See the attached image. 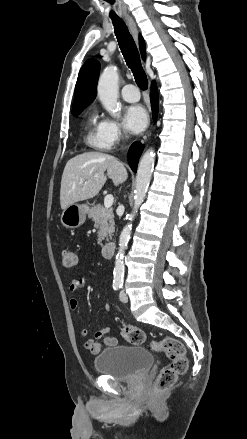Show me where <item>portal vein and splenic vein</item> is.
Wrapping results in <instances>:
<instances>
[{
	"instance_id": "18ae733b",
	"label": "portal vein and splenic vein",
	"mask_w": 247,
	"mask_h": 439,
	"mask_svg": "<svg viewBox=\"0 0 247 439\" xmlns=\"http://www.w3.org/2000/svg\"><path fill=\"white\" fill-rule=\"evenodd\" d=\"M114 202V197L111 194H108L105 196L104 198V206L105 208L109 209L110 207H112Z\"/></svg>"
}]
</instances>
